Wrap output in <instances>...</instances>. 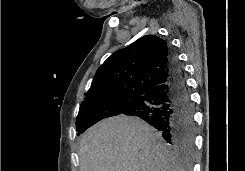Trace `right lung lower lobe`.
Here are the masks:
<instances>
[{"label":"right lung lower lobe","mask_w":245,"mask_h":171,"mask_svg":"<svg viewBox=\"0 0 245 171\" xmlns=\"http://www.w3.org/2000/svg\"><path fill=\"white\" fill-rule=\"evenodd\" d=\"M169 78L128 103L121 114L137 116L158 131L176 153L190 157L194 150L193 105L182 67L169 47Z\"/></svg>","instance_id":"obj_1"}]
</instances>
